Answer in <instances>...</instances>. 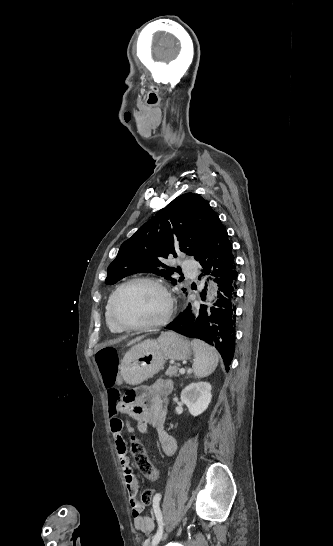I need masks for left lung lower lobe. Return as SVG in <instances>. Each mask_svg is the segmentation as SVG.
Wrapping results in <instances>:
<instances>
[{"label":"left lung lower lobe","mask_w":333,"mask_h":546,"mask_svg":"<svg viewBox=\"0 0 333 546\" xmlns=\"http://www.w3.org/2000/svg\"><path fill=\"white\" fill-rule=\"evenodd\" d=\"M203 267L202 271L216 276L219 291L214 307L206 305L192 307L189 304L179 316L166 326L187 337L198 338L214 346L221 354L226 371L234 356L237 272L232 244L220 219L216 220L212 236L207 245L195 258ZM206 290L201 293L204 300Z\"/></svg>","instance_id":"1"}]
</instances>
